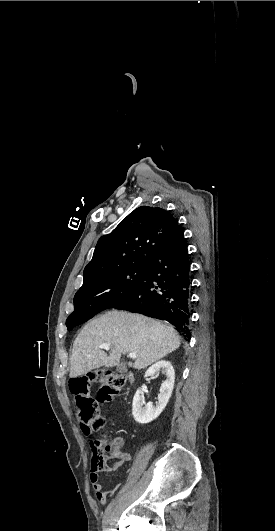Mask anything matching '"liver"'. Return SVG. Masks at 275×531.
Here are the masks:
<instances>
[{
	"instance_id": "obj_1",
	"label": "liver",
	"mask_w": 275,
	"mask_h": 531,
	"mask_svg": "<svg viewBox=\"0 0 275 531\" xmlns=\"http://www.w3.org/2000/svg\"><path fill=\"white\" fill-rule=\"evenodd\" d=\"M180 339L171 325L136 313L107 311L89 321L76 337L69 377H79L99 367H116L126 353H135L137 357L134 363H128L129 367L146 369L179 349ZM104 343L110 345L109 355L99 349Z\"/></svg>"
}]
</instances>
